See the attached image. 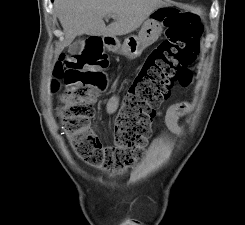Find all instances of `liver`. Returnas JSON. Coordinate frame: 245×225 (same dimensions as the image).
I'll return each mask as SVG.
<instances>
[{
	"mask_svg": "<svg viewBox=\"0 0 245 225\" xmlns=\"http://www.w3.org/2000/svg\"><path fill=\"white\" fill-rule=\"evenodd\" d=\"M163 0H55L54 10L63 27V47L76 36H121L133 32L156 9L165 6ZM115 15L106 26L103 18Z\"/></svg>",
	"mask_w": 245,
	"mask_h": 225,
	"instance_id": "6515ba94",
	"label": "liver"
}]
</instances>
